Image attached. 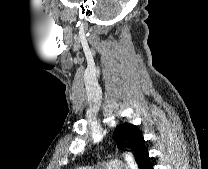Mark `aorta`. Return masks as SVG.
<instances>
[{"instance_id":"762f6f07","label":"aorta","mask_w":208,"mask_h":169,"mask_svg":"<svg viewBox=\"0 0 208 169\" xmlns=\"http://www.w3.org/2000/svg\"><path fill=\"white\" fill-rule=\"evenodd\" d=\"M126 160L130 169H138L137 163L130 154L126 155Z\"/></svg>"}]
</instances>
